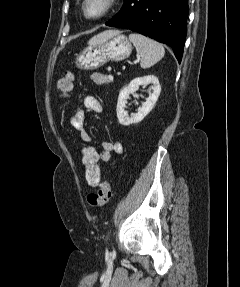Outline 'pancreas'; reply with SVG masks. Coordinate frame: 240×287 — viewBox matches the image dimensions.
Segmentation results:
<instances>
[{
  "label": "pancreas",
  "mask_w": 240,
  "mask_h": 287,
  "mask_svg": "<svg viewBox=\"0 0 240 287\" xmlns=\"http://www.w3.org/2000/svg\"><path fill=\"white\" fill-rule=\"evenodd\" d=\"M91 79L98 85L107 84V83L111 82V80H109L108 77H106L100 73H94L91 76Z\"/></svg>",
  "instance_id": "pancreas-1"
}]
</instances>
